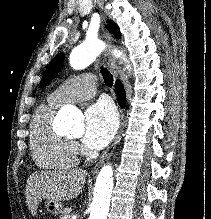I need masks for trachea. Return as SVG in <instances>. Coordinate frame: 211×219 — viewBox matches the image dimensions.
I'll list each match as a JSON object with an SVG mask.
<instances>
[{"label":"trachea","mask_w":211,"mask_h":219,"mask_svg":"<svg viewBox=\"0 0 211 219\" xmlns=\"http://www.w3.org/2000/svg\"><path fill=\"white\" fill-rule=\"evenodd\" d=\"M101 74L103 76L104 82L108 87H112L113 85V76L112 74L107 70V68L101 66Z\"/></svg>","instance_id":"3493384b"}]
</instances>
